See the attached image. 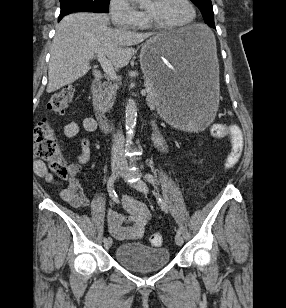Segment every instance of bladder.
Here are the masks:
<instances>
[{
	"label": "bladder",
	"instance_id": "bladder-1",
	"mask_svg": "<svg viewBox=\"0 0 286 308\" xmlns=\"http://www.w3.org/2000/svg\"><path fill=\"white\" fill-rule=\"evenodd\" d=\"M115 261L134 272H152L165 267L170 261V252L165 247H149L142 242L124 243L114 251Z\"/></svg>",
	"mask_w": 286,
	"mask_h": 308
}]
</instances>
